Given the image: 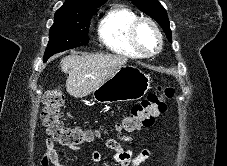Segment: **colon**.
<instances>
[{
	"mask_svg": "<svg viewBox=\"0 0 227 166\" xmlns=\"http://www.w3.org/2000/svg\"><path fill=\"white\" fill-rule=\"evenodd\" d=\"M174 95L171 87H159L157 91L148 94L140 102L133 105L130 112L119 123V129L126 132H136L151 127L154 119L166 110V101ZM45 107L42 113L43 125L47 134L63 146H76L90 143L98 138L92 130L71 127L62 121V108L65 95L59 87L47 91L44 99Z\"/></svg>",
	"mask_w": 227,
	"mask_h": 166,
	"instance_id": "5ec220e1",
	"label": "colon"
}]
</instances>
